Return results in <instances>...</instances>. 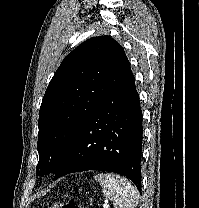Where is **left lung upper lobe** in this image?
I'll use <instances>...</instances> for the list:
<instances>
[{
	"label": "left lung upper lobe",
	"mask_w": 199,
	"mask_h": 208,
	"mask_svg": "<svg viewBox=\"0 0 199 208\" xmlns=\"http://www.w3.org/2000/svg\"><path fill=\"white\" fill-rule=\"evenodd\" d=\"M130 71L124 49L109 36L90 38L67 55L40 107L37 175L55 173L84 122Z\"/></svg>",
	"instance_id": "left-lung-upper-lobe-1"
}]
</instances>
